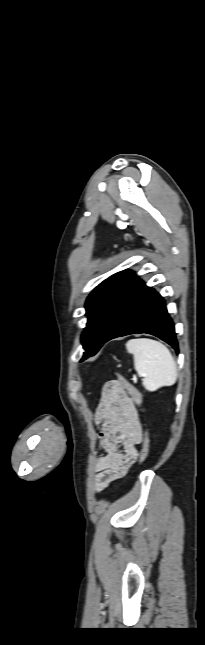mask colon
I'll list each match as a JSON object with an SVG mask.
<instances>
[{
  "label": "colon",
  "mask_w": 205,
  "mask_h": 645,
  "mask_svg": "<svg viewBox=\"0 0 205 645\" xmlns=\"http://www.w3.org/2000/svg\"><path fill=\"white\" fill-rule=\"evenodd\" d=\"M108 385H109V388L112 390L127 392L131 397V399L134 401V403L140 408L142 407L143 400H142L141 393L137 390L135 386H133L130 382H128L121 374L117 373L116 379L109 381ZM148 453H149V437L147 432L145 431L143 435L142 447L138 458L139 465L144 463V461L148 456Z\"/></svg>",
  "instance_id": "5ec220e1"
}]
</instances>
